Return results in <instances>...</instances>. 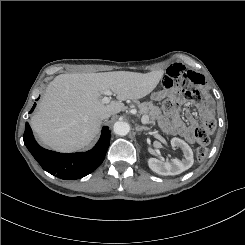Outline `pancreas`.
<instances>
[{
  "instance_id": "obj_1",
  "label": "pancreas",
  "mask_w": 245,
  "mask_h": 245,
  "mask_svg": "<svg viewBox=\"0 0 245 245\" xmlns=\"http://www.w3.org/2000/svg\"><path fill=\"white\" fill-rule=\"evenodd\" d=\"M139 114L148 117V123H154L156 118L161 114L160 109L152 103L139 104Z\"/></svg>"
}]
</instances>
